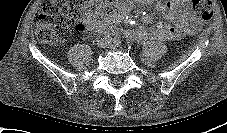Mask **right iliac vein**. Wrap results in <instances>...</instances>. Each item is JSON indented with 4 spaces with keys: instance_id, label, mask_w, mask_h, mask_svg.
<instances>
[{
    "instance_id": "obj_1",
    "label": "right iliac vein",
    "mask_w": 227,
    "mask_h": 133,
    "mask_svg": "<svg viewBox=\"0 0 227 133\" xmlns=\"http://www.w3.org/2000/svg\"><path fill=\"white\" fill-rule=\"evenodd\" d=\"M110 43V40H108L107 38H99L97 40V46L100 48H105L108 46V44Z\"/></svg>"
}]
</instances>
